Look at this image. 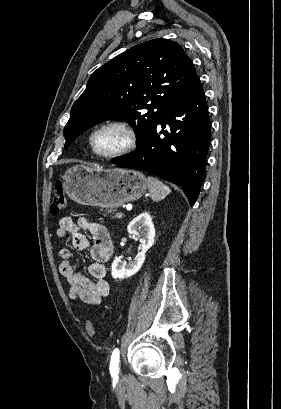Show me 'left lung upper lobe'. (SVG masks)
I'll list each match as a JSON object with an SVG mask.
<instances>
[{
	"instance_id": "1",
	"label": "left lung upper lobe",
	"mask_w": 281,
	"mask_h": 409,
	"mask_svg": "<svg viewBox=\"0 0 281 409\" xmlns=\"http://www.w3.org/2000/svg\"><path fill=\"white\" fill-rule=\"evenodd\" d=\"M196 76L191 59L173 41L155 39L130 48L90 76L72 106L64 129L65 147L109 119L129 122L139 143Z\"/></svg>"
}]
</instances>
